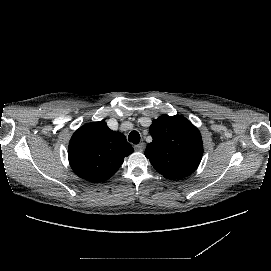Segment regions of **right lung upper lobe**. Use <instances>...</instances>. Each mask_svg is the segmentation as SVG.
<instances>
[{
    "mask_svg": "<svg viewBox=\"0 0 271 271\" xmlns=\"http://www.w3.org/2000/svg\"><path fill=\"white\" fill-rule=\"evenodd\" d=\"M133 152L122 133L110 130L104 121H100L86 124L73 134L68 158L79 177L102 182L112 177L124 158Z\"/></svg>",
    "mask_w": 271,
    "mask_h": 271,
    "instance_id": "1",
    "label": "right lung upper lobe"
}]
</instances>
